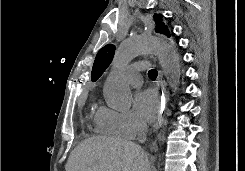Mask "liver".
<instances>
[{"instance_id": "liver-1", "label": "liver", "mask_w": 245, "mask_h": 171, "mask_svg": "<svg viewBox=\"0 0 245 171\" xmlns=\"http://www.w3.org/2000/svg\"><path fill=\"white\" fill-rule=\"evenodd\" d=\"M66 171H151L148 155L134 142L95 136L70 154Z\"/></svg>"}]
</instances>
